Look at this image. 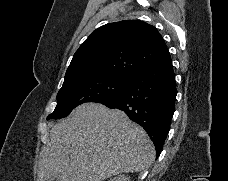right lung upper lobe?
<instances>
[{"label": "right lung upper lobe", "instance_id": "cb5924a9", "mask_svg": "<svg viewBox=\"0 0 228 181\" xmlns=\"http://www.w3.org/2000/svg\"><path fill=\"white\" fill-rule=\"evenodd\" d=\"M170 56L157 29L143 21L124 20L94 30L73 56L63 84L88 76L133 77Z\"/></svg>", "mask_w": 228, "mask_h": 181}]
</instances>
